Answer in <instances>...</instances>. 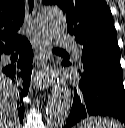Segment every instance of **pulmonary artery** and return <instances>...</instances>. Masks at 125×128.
Masks as SVG:
<instances>
[{
    "label": "pulmonary artery",
    "mask_w": 125,
    "mask_h": 128,
    "mask_svg": "<svg viewBox=\"0 0 125 128\" xmlns=\"http://www.w3.org/2000/svg\"><path fill=\"white\" fill-rule=\"evenodd\" d=\"M57 44L63 48H76V42L69 35H61L57 38ZM76 55L81 56L82 53L79 49H76Z\"/></svg>",
    "instance_id": "obj_1"
}]
</instances>
